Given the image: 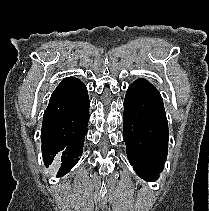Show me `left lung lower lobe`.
<instances>
[{"instance_id":"1","label":"left lung lower lobe","mask_w":209,"mask_h":211,"mask_svg":"<svg viewBox=\"0 0 209 211\" xmlns=\"http://www.w3.org/2000/svg\"><path fill=\"white\" fill-rule=\"evenodd\" d=\"M123 139L136 173L146 181L157 180L167 158L168 123L159 91L145 79L127 89Z\"/></svg>"}]
</instances>
